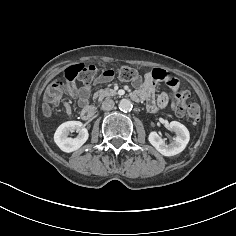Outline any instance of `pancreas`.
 <instances>
[{
	"mask_svg": "<svg viewBox=\"0 0 236 236\" xmlns=\"http://www.w3.org/2000/svg\"><path fill=\"white\" fill-rule=\"evenodd\" d=\"M116 95V91L110 88L100 89L94 93L93 99H98L102 101L105 97H110Z\"/></svg>",
	"mask_w": 236,
	"mask_h": 236,
	"instance_id": "pancreas-1",
	"label": "pancreas"
}]
</instances>
